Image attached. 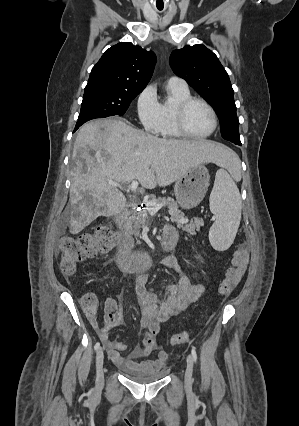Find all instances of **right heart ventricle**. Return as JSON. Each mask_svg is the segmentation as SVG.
Returning <instances> with one entry per match:
<instances>
[{
    "mask_svg": "<svg viewBox=\"0 0 299 426\" xmlns=\"http://www.w3.org/2000/svg\"><path fill=\"white\" fill-rule=\"evenodd\" d=\"M168 97L160 103V123L158 134L164 138H179L181 134L175 125V109L176 106L191 97L188 87H180L176 85H167Z\"/></svg>",
    "mask_w": 299,
    "mask_h": 426,
    "instance_id": "1",
    "label": "right heart ventricle"
}]
</instances>
